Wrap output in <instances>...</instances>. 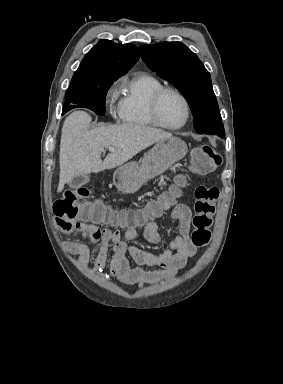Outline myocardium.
<instances>
[{
	"label": "myocardium",
	"mask_w": 283,
	"mask_h": 384,
	"mask_svg": "<svg viewBox=\"0 0 283 384\" xmlns=\"http://www.w3.org/2000/svg\"><path fill=\"white\" fill-rule=\"evenodd\" d=\"M166 93L175 94L176 96H178L181 99V101L184 104L185 112H186L185 120L183 121L182 124H180L178 126H174V127L167 126V125L163 124L159 118V114H158L159 103H160L162 97ZM147 113H148L150 120L152 121V123L156 127H159L161 129L168 130V131H178V130L183 129L188 124V122L190 120V116H191V109H190V104L183 93H181L179 90L172 88V87H162L159 90H157L152 95V97L149 99L148 105H147Z\"/></svg>",
	"instance_id": "1"
}]
</instances>
